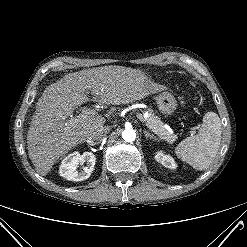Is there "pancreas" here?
<instances>
[{
  "mask_svg": "<svg viewBox=\"0 0 247 247\" xmlns=\"http://www.w3.org/2000/svg\"><path fill=\"white\" fill-rule=\"evenodd\" d=\"M145 125L152 130L160 139L167 141L168 143H174L177 136L171 133L165 124L156 116L152 110H149V114L144 118Z\"/></svg>",
  "mask_w": 247,
  "mask_h": 247,
  "instance_id": "obj_1",
  "label": "pancreas"
}]
</instances>
